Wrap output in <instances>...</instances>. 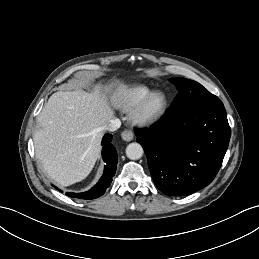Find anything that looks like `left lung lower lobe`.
I'll use <instances>...</instances> for the list:
<instances>
[{
	"label": "left lung lower lobe",
	"mask_w": 259,
	"mask_h": 259,
	"mask_svg": "<svg viewBox=\"0 0 259 259\" xmlns=\"http://www.w3.org/2000/svg\"><path fill=\"white\" fill-rule=\"evenodd\" d=\"M135 134L156 186L168 196H184L213 181L228 148L230 127L218 99L167 113Z\"/></svg>",
	"instance_id": "left-lung-lower-lobe-1"
}]
</instances>
